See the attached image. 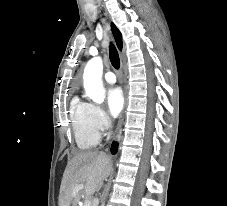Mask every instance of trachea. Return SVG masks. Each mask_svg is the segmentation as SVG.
<instances>
[{"mask_svg": "<svg viewBox=\"0 0 227 206\" xmlns=\"http://www.w3.org/2000/svg\"><path fill=\"white\" fill-rule=\"evenodd\" d=\"M109 57H110V61H111L112 66L115 69H119L120 59H119L118 52H117V50H116V48L114 47L113 44H111L110 48H109Z\"/></svg>", "mask_w": 227, "mask_h": 206, "instance_id": "3493384b", "label": "trachea"}]
</instances>
